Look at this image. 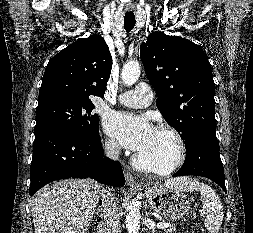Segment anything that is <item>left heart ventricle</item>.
Masks as SVG:
<instances>
[{
  "label": "left heart ventricle",
  "instance_id": "1",
  "mask_svg": "<svg viewBox=\"0 0 253 233\" xmlns=\"http://www.w3.org/2000/svg\"><path fill=\"white\" fill-rule=\"evenodd\" d=\"M178 153L175 140L169 134L154 129L146 146L137 156L146 163L157 166H168Z\"/></svg>",
  "mask_w": 253,
  "mask_h": 233
}]
</instances>
